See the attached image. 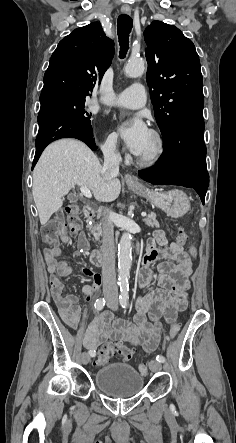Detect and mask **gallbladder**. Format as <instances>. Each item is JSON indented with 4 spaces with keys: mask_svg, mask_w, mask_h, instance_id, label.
Returning a JSON list of instances; mask_svg holds the SVG:
<instances>
[{
    "mask_svg": "<svg viewBox=\"0 0 236 443\" xmlns=\"http://www.w3.org/2000/svg\"><path fill=\"white\" fill-rule=\"evenodd\" d=\"M67 199H68L70 202H76V201L78 200V197H77L75 194L70 193V194L67 196Z\"/></svg>",
    "mask_w": 236,
    "mask_h": 443,
    "instance_id": "bac80fb5",
    "label": "gallbladder"
}]
</instances>
